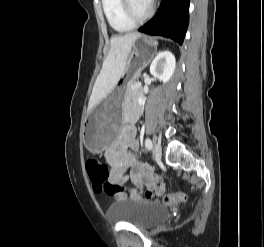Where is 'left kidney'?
Listing matches in <instances>:
<instances>
[{
	"label": "left kidney",
	"mask_w": 264,
	"mask_h": 247,
	"mask_svg": "<svg viewBox=\"0 0 264 247\" xmlns=\"http://www.w3.org/2000/svg\"><path fill=\"white\" fill-rule=\"evenodd\" d=\"M176 67V60L170 51L160 52L151 62L150 73L167 83L172 77Z\"/></svg>",
	"instance_id": "5707ae66"
}]
</instances>
